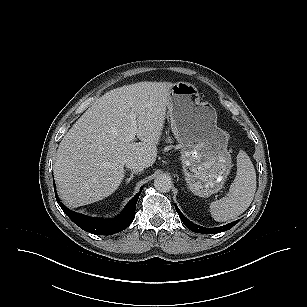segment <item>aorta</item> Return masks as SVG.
Masks as SVG:
<instances>
[{
	"label": "aorta",
	"instance_id": "aorta-1",
	"mask_svg": "<svg viewBox=\"0 0 307 307\" xmlns=\"http://www.w3.org/2000/svg\"><path fill=\"white\" fill-rule=\"evenodd\" d=\"M154 187L159 192H168L172 187V181L170 176L166 174L158 175L154 180Z\"/></svg>",
	"mask_w": 307,
	"mask_h": 307
}]
</instances>
